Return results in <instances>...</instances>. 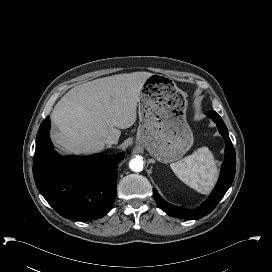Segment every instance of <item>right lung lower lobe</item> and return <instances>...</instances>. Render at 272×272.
I'll return each mask as SVG.
<instances>
[{"mask_svg": "<svg viewBox=\"0 0 272 272\" xmlns=\"http://www.w3.org/2000/svg\"><path fill=\"white\" fill-rule=\"evenodd\" d=\"M49 116L36 137L33 175L47 202L63 217L89 221L105 216L116 197L117 166L124 154L59 156L49 138Z\"/></svg>", "mask_w": 272, "mask_h": 272, "instance_id": "98d812e1", "label": "right lung lower lobe"}]
</instances>
